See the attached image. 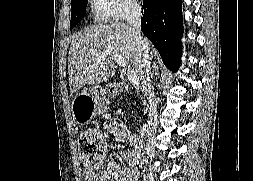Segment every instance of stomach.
<instances>
[{
	"label": "stomach",
	"instance_id": "obj_1",
	"mask_svg": "<svg viewBox=\"0 0 253 181\" xmlns=\"http://www.w3.org/2000/svg\"><path fill=\"white\" fill-rule=\"evenodd\" d=\"M86 97L85 99H83ZM109 104L106 90L93 86L78 94L72 104L73 117L77 122L85 123L99 114L106 112Z\"/></svg>",
	"mask_w": 253,
	"mask_h": 181
}]
</instances>
